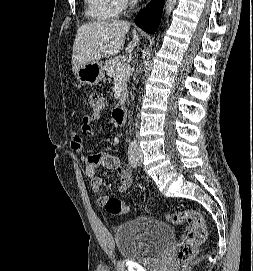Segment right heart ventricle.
Masks as SVG:
<instances>
[{
	"label": "right heart ventricle",
	"mask_w": 253,
	"mask_h": 271,
	"mask_svg": "<svg viewBox=\"0 0 253 271\" xmlns=\"http://www.w3.org/2000/svg\"><path fill=\"white\" fill-rule=\"evenodd\" d=\"M86 14L95 20L116 18L121 12L116 0H85Z\"/></svg>",
	"instance_id": "obj_1"
}]
</instances>
